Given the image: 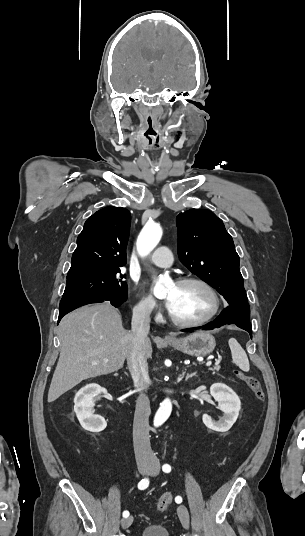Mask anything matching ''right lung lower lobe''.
Here are the masks:
<instances>
[{"label": "right lung lower lobe", "mask_w": 305, "mask_h": 536, "mask_svg": "<svg viewBox=\"0 0 305 536\" xmlns=\"http://www.w3.org/2000/svg\"><path fill=\"white\" fill-rule=\"evenodd\" d=\"M104 301H110L111 304L115 307H118L119 305L123 304L125 301L122 300H116V299H104V298H98V297H89V296H74V297H66L62 298L60 301L59 306V319L58 322L61 320V318L69 313L70 311L86 305L90 303H100Z\"/></svg>", "instance_id": "obj_1"}]
</instances>
